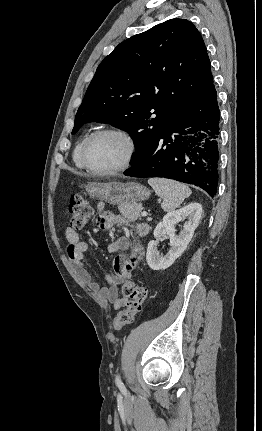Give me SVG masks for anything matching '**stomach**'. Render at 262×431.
I'll return each instance as SVG.
<instances>
[{
    "instance_id": "obj_1",
    "label": "stomach",
    "mask_w": 262,
    "mask_h": 431,
    "mask_svg": "<svg viewBox=\"0 0 262 431\" xmlns=\"http://www.w3.org/2000/svg\"><path fill=\"white\" fill-rule=\"evenodd\" d=\"M86 191L91 198L99 199L113 205H137V202L149 198L151 192L148 188L137 182L107 183L90 182Z\"/></svg>"
}]
</instances>
